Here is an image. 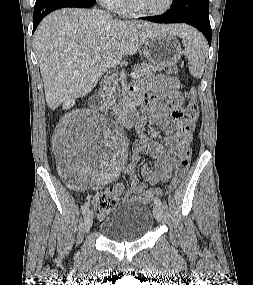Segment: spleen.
<instances>
[{
  "label": "spleen",
  "mask_w": 253,
  "mask_h": 285,
  "mask_svg": "<svg viewBox=\"0 0 253 285\" xmlns=\"http://www.w3.org/2000/svg\"><path fill=\"white\" fill-rule=\"evenodd\" d=\"M181 37L184 54L189 61V72L199 79L205 69L204 51L207 49V42L202 34L192 28L186 30Z\"/></svg>",
  "instance_id": "spleen-1"
}]
</instances>
